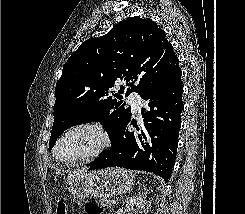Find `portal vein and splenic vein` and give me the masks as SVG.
<instances>
[{
  "instance_id": "obj_1",
  "label": "portal vein and splenic vein",
  "mask_w": 245,
  "mask_h": 214,
  "mask_svg": "<svg viewBox=\"0 0 245 214\" xmlns=\"http://www.w3.org/2000/svg\"><path fill=\"white\" fill-rule=\"evenodd\" d=\"M112 203H113V204H116V200H113Z\"/></svg>"
}]
</instances>
